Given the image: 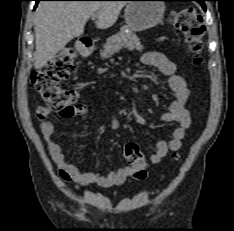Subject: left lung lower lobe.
<instances>
[{
  "label": "left lung lower lobe",
  "instance_id": "left-lung-lower-lobe-1",
  "mask_svg": "<svg viewBox=\"0 0 234 231\" xmlns=\"http://www.w3.org/2000/svg\"><path fill=\"white\" fill-rule=\"evenodd\" d=\"M179 1H197L199 2L201 5H202V8L204 9V11H206V7H205V1H208V0H179Z\"/></svg>",
  "mask_w": 234,
  "mask_h": 231
}]
</instances>
